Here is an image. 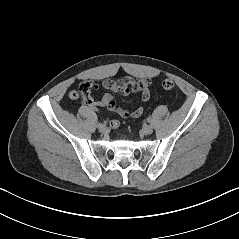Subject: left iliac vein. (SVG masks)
<instances>
[{
    "label": "left iliac vein",
    "mask_w": 239,
    "mask_h": 239,
    "mask_svg": "<svg viewBox=\"0 0 239 239\" xmlns=\"http://www.w3.org/2000/svg\"><path fill=\"white\" fill-rule=\"evenodd\" d=\"M142 131L144 134L149 135L153 132V128L150 125H146L143 127Z\"/></svg>",
    "instance_id": "obj_1"
}]
</instances>
